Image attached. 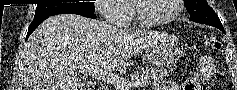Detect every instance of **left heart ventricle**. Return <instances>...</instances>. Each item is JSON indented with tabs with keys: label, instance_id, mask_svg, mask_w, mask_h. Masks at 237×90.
<instances>
[{
	"label": "left heart ventricle",
	"instance_id": "b2bd125f",
	"mask_svg": "<svg viewBox=\"0 0 237 90\" xmlns=\"http://www.w3.org/2000/svg\"><path fill=\"white\" fill-rule=\"evenodd\" d=\"M173 0H146L137 1L140 15L146 20H158L168 16L172 10Z\"/></svg>",
	"mask_w": 237,
	"mask_h": 90
}]
</instances>
